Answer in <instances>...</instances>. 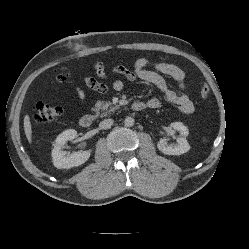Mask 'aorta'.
Instances as JSON below:
<instances>
[{
    "label": "aorta",
    "mask_w": 249,
    "mask_h": 249,
    "mask_svg": "<svg viewBox=\"0 0 249 249\" xmlns=\"http://www.w3.org/2000/svg\"><path fill=\"white\" fill-rule=\"evenodd\" d=\"M124 123L126 126L131 127L134 125V119L132 117H127Z\"/></svg>",
    "instance_id": "1"
}]
</instances>
